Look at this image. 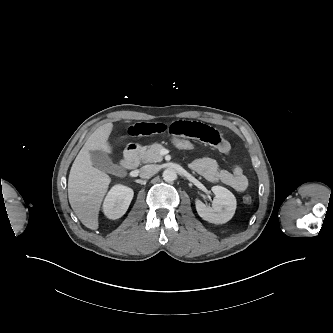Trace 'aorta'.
<instances>
[{
    "instance_id": "aorta-1",
    "label": "aorta",
    "mask_w": 333,
    "mask_h": 333,
    "mask_svg": "<svg viewBox=\"0 0 333 333\" xmlns=\"http://www.w3.org/2000/svg\"><path fill=\"white\" fill-rule=\"evenodd\" d=\"M163 179L166 181V182H173L177 175H176V171L174 169H165L164 172H163Z\"/></svg>"
}]
</instances>
